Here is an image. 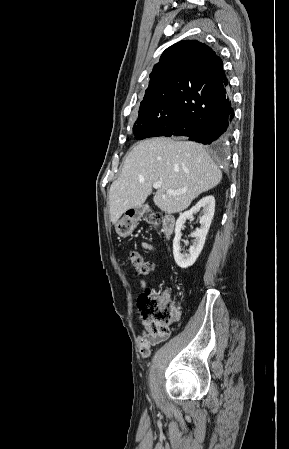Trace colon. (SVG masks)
<instances>
[{
    "instance_id": "colon-1",
    "label": "colon",
    "mask_w": 289,
    "mask_h": 449,
    "mask_svg": "<svg viewBox=\"0 0 289 449\" xmlns=\"http://www.w3.org/2000/svg\"><path fill=\"white\" fill-rule=\"evenodd\" d=\"M144 219L148 223L157 224L161 221V216L148 211L144 213ZM124 225L128 227L130 221H125ZM130 261L139 276L147 277L154 272L153 263L138 252L130 254ZM138 304L152 333L168 337L172 326L180 319V310L171 301L168 293L155 292L148 288L140 295Z\"/></svg>"
}]
</instances>
